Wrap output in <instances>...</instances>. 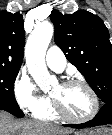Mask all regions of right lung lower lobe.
I'll list each match as a JSON object with an SVG mask.
<instances>
[{
	"label": "right lung lower lobe",
	"instance_id": "98d812e1",
	"mask_svg": "<svg viewBox=\"0 0 112 135\" xmlns=\"http://www.w3.org/2000/svg\"><path fill=\"white\" fill-rule=\"evenodd\" d=\"M0 109L5 110V111L11 113L14 116H17V117H23L24 116V114L20 110L19 106H10V105H2V104H0Z\"/></svg>",
	"mask_w": 112,
	"mask_h": 135
}]
</instances>
